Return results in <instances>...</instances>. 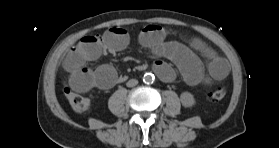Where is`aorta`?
I'll list each match as a JSON object with an SVG mask.
<instances>
[{
    "instance_id": "762f6f07",
    "label": "aorta",
    "mask_w": 279,
    "mask_h": 148,
    "mask_svg": "<svg viewBox=\"0 0 279 148\" xmlns=\"http://www.w3.org/2000/svg\"><path fill=\"white\" fill-rule=\"evenodd\" d=\"M155 80V77L153 74L151 73H146L144 76H143V82L145 84H152Z\"/></svg>"
}]
</instances>
